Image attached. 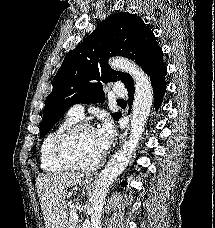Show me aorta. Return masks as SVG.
Here are the masks:
<instances>
[{
  "label": "aorta",
  "instance_id": "762f6f07",
  "mask_svg": "<svg viewBox=\"0 0 215 228\" xmlns=\"http://www.w3.org/2000/svg\"><path fill=\"white\" fill-rule=\"evenodd\" d=\"M109 66L113 70L127 72L134 80V102L132 106L130 136L124 146L118 150L114 158L108 162L98 176L96 190L92 196L91 228H102L101 214L109 186L117 180L118 176L127 168L138 142L145 130L147 118L153 104V88L151 80L142 68L127 58H111Z\"/></svg>",
  "mask_w": 215,
  "mask_h": 228
}]
</instances>
